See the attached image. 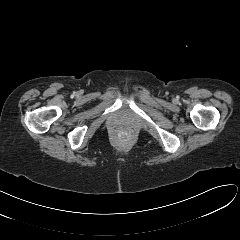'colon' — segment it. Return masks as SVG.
<instances>
[{"label":"colon","instance_id":"1","mask_svg":"<svg viewBox=\"0 0 240 240\" xmlns=\"http://www.w3.org/2000/svg\"><path fill=\"white\" fill-rule=\"evenodd\" d=\"M124 134H125V135H128V134H129V131H128V130H125V131H124Z\"/></svg>","mask_w":240,"mask_h":240}]
</instances>
